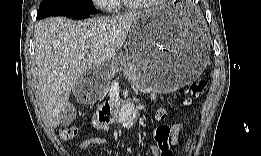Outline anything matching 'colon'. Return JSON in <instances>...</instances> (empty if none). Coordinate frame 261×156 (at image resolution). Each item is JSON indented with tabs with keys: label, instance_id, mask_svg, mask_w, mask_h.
Masks as SVG:
<instances>
[{
	"label": "colon",
	"instance_id": "colon-1",
	"mask_svg": "<svg viewBox=\"0 0 261 156\" xmlns=\"http://www.w3.org/2000/svg\"><path fill=\"white\" fill-rule=\"evenodd\" d=\"M206 87L204 80H197L190 84L185 91L181 104L184 107H190L193 100L199 97ZM164 116V110L160 109L157 112V117L162 118ZM110 121V107L108 104L102 106L96 113L93 124L97 129L105 128ZM61 136L63 139L70 140L78 136V128L75 126H68L62 130ZM170 137V131L168 126H160L155 132V139L158 146L164 152L165 155H170L168 148V141Z\"/></svg>",
	"mask_w": 261,
	"mask_h": 156
}]
</instances>
